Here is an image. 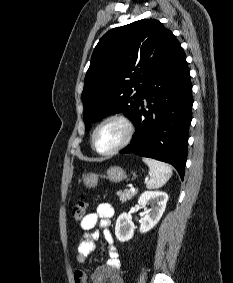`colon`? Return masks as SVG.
<instances>
[{
	"label": "colon",
	"mask_w": 233,
	"mask_h": 283,
	"mask_svg": "<svg viewBox=\"0 0 233 283\" xmlns=\"http://www.w3.org/2000/svg\"><path fill=\"white\" fill-rule=\"evenodd\" d=\"M87 203L84 196H81L79 202L72 209V218L75 222L81 223L86 216Z\"/></svg>",
	"instance_id": "1"
}]
</instances>
